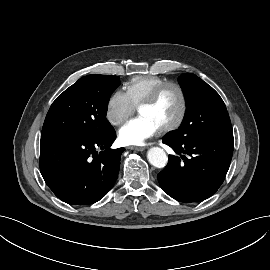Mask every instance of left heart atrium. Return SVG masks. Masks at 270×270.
I'll list each match as a JSON object with an SVG mask.
<instances>
[{
	"mask_svg": "<svg viewBox=\"0 0 270 270\" xmlns=\"http://www.w3.org/2000/svg\"><path fill=\"white\" fill-rule=\"evenodd\" d=\"M159 130L160 128L152 119L147 116H138L119 129L118 140L122 145H142Z\"/></svg>",
	"mask_w": 270,
	"mask_h": 270,
	"instance_id": "obj_1",
	"label": "left heart atrium"
}]
</instances>
